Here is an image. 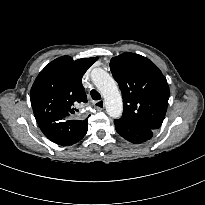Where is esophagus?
Returning a JSON list of instances; mask_svg holds the SVG:
<instances>
[{
	"label": "esophagus",
	"instance_id": "1",
	"mask_svg": "<svg viewBox=\"0 0 205 205\" xmlns=\"http://www.w3.org/2000/svg\"><path fill=\"white\" fill-rule=\"evenodd\" d=\"M94 105H95V107H96L97 109L102 110V109L104 108V106H105V103H104V100H99V101H96V102L94 103Z\"/></svg>",
	"mask_w": 205,
	"mask_h": 205
}]
</instances>
